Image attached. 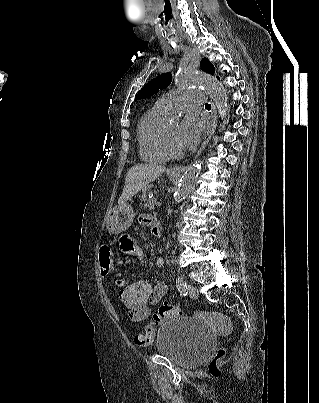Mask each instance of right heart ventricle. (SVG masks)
Instances as JSON below:
<instances>
[{"label": "right heart ventricle", "mask_w": 319, "mask_h": 403, "mask_svg": "<svg viewBox=\"0 0 319 403\" xmlns=\"http://www.w3.org/2000/svg\"><path fill=\"white\" fill-rule=\"evenodd\" d=\"M168 111L154 104L140 118L137 127L139 154L148 163H163L168 158L161 147V130Z\"/></svg>", "instance_id": "1"}]
</instances>
